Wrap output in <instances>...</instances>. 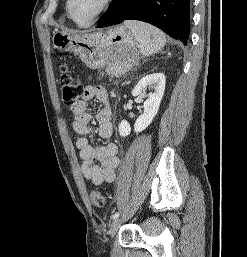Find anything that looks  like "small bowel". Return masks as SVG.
I'll list each match as a JSON object with an SVG mask.
<instances>
[{
	"mask_svg": "<svg viewBox=\"0 0 247 257\" xmlns=\"http://www.w3.org/2000/svg\"><path fill=\"white\" fill-rule=\"evenodd\" d=\"M97 99L101 108L95 115L98 123L97 133L102 139H109L113 135L112 107L109 95L105 88L87 86L83 89L82 98L71 104L72 127L78 134L75 146L81 159V171L93 185L112 183L115 179V170L119 164L118 146L107 143L104 146H94L92 139L95 130L91 126L93 115L87 108V102ZM99 162V164H95Z\"/></svg>",
	"mask_w": 247,
	"mask_h": 257,
	"instance_id": "1",
	"label": "small bowel"
}]
</instances>
